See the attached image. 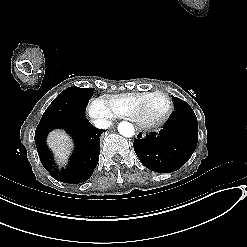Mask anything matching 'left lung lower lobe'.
<instances>
[{
  "instance_id": "1",
  "label": "left lung lower lobe",
  "mask_w": 247,
  "mask_h": 247,
  "mask_svg": "<svg viewBox=\"0 0 247 247\" xmlns=\"http://www.w3.org/2000/svg\"><path fill=\"white\" fill-rule=\"evenodd\" d=\"M198 142V122L192 108L175 110L158 134H139L134 150L148 169L169 173L181 168L192 156Z\"/></svg>"
}]
</instances>
